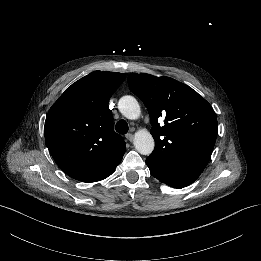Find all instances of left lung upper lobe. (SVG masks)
<instances>
[{
    "mask_svg": "<svg viewBox=\"0 0 261 261\" xmlns=\"http://www.w3.org/2000/svg\"><path fill=\"white\" fill-rule=\"evenodd\" d=\"M128 84L148 108L155 140L150 157L202 172L218 133L211 105L192 88L170 77L131 73ZM161 116H165L164 126L158 123Z\"/></svg>",
    "mask_w": 261,
    "mask_h": 261,
    "instance_id": "5c2ea615",
    "label": "left lung upper lobe"
}]
</instances>
